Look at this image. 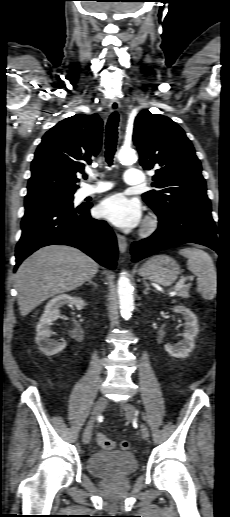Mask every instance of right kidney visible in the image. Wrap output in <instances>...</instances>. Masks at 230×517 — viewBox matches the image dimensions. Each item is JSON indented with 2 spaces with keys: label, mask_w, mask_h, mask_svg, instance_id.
<instances>
[{
  "label": "right kidney",
  "mask_w": 230,
  "mask_h": 517,
  "mask_svg": "<svg viewBox=\"0 0 230 517\" xmlns=\"http://www.w3.org/2000/svg\"><path fill=\"white\" fill-rule=\"evenodd\" d=\"M64 305H75L77 309H83L86 303L81 297H72L66 294L58 295L47 303L36 327L37 334L35 338L39 350L47 356L55 355L66 347L65 342H57L50 339L52 333L50 326L53 324V321L59 318V309Z\"/></svg>",
  "instance_id": "obj_1"
}]
</instances>
